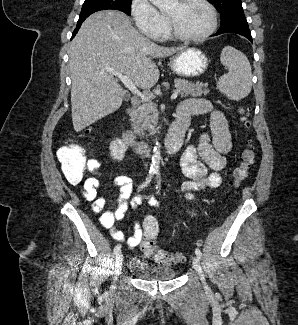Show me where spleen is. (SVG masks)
Returning <instances> with one entry per match:
<instances>
[{
    "instance_id": "1",
    "label": "spleen",
    "mask_w": 298,
    "mask_h": 325,
    "mask_svg": "<svg viewBox=\"0 0 298 325\" xmlns=\"http://www.w3.org/2000/svg\"><path fill=\"white\" fill-rule=\"evenodd\" d=\"M220 60L228 72L219 76L217 86L230 100H241L251 92L252 68L244 52L234 46L222 48Z\"/></svg>"
}]
</instances>
